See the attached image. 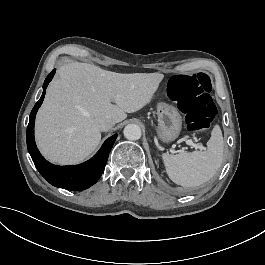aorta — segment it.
<instances>
[{
  "mask_svg": "<svg viewBox=\"0 0 265 265\" xmlns=\"http://www.w3.org/2000/svg\"><path fill=\"white\" fill-rule=\"evenodd\" d=\"M123 133L128 140H138L141 137V129L136 124H128L125 126Z\"/></svg>",
  "mask_w": 265,
  "mask_h": 265,
  "instance_id": "obj_1",
  "label": "aorta"
}]
</instances>
